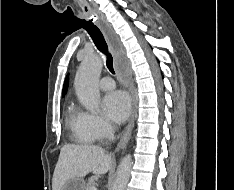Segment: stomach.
Returning <instances> with one entry per match:
<instances>
[{"instance_id": "obj_1", "label": "stomach", "mask_w": 234, "mask_h": 190, "mask_svg": "<svg viewBox=\"0 0 234 190\" xmlns=\"http://www.w3.org/2000/svg\"><path fill=\"white\" fill-rule=\"evenodd\" d=\"M61 190H85V181L81 177L69 179Z\"/></svg>"}]
</instances>
